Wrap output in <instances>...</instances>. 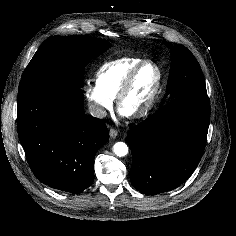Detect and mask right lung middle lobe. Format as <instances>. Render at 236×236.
Returning <instances> with one entry per match:
<instances>
[{"instance_id": "1", "label": "right lung middle lobe", "mask_w": 236, "mask_h": 236, "mask_svg": "<svg viewBox=\"0 0 236 236\" xmlns=\"http://www.w3.org/2000/svg\"><path fill=\"white\" fill-rule=\"evenodd\" d=\"M111 46L87 36H53L39 47L26 67L19 91L42 84L83 86L84 67Z\"/></svg>"}]
</instances>
